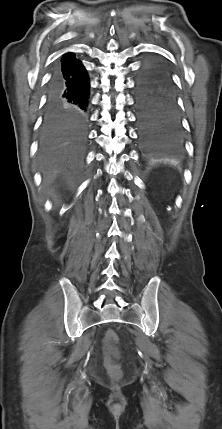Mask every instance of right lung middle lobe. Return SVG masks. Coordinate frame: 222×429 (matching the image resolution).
Masks as SVG:
<instances>
[{"instance_id":"1","label":"right lung middle lobe","mask_w":222,"mask_h":429,"mask_svg":"<svg viewBox=\"0 0 222 429\" xmlns=\"http://www.w3.org/2000/svg\"><path fill=\"white\" fill-rule=\"evenodd\" d=\"M65 137V134L56 128H50L43 124L42 143L45 146L54 145Z\"/></svg>"}]
</instances>
